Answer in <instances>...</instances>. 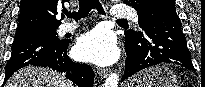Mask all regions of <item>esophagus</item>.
<instances>
[{
    "mask_svg": "<svg viewBox=\"0 0 205 87\" xmlns=\"http://www.w3.org/2000/svg\"><path fill=\"white\" fill-rule=\"evenodd\" d=\"M110 70L105 68H99L98 73L101 77L105 78L109 74Z\"/></svg>",
    "mask_w": 205,
    "mask_h": 87,
    "instance_id": "1",
    "label": "esophagus"
}]
</instances>
